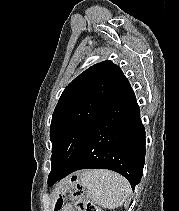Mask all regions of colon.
I'll return each instance as SVG.
<instances>
[{"instance_id": "colon-1", "label": "colon", "mask_w": 179, "mask_h": 211, "mask_svg": "<svg viewBox=\"0 0 179 211\" xmlns=\"http://www.w3.org/2000/svg\"><path fill=\"white\" fill-rule=\"evenodd\" d=\"M67 192L76 211H102L84 197V186L77 177L71 178Z\"/></svg>"}]
</instances>
